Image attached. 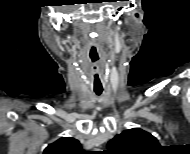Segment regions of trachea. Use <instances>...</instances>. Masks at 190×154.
<instances>
[{"instance_id": "obj_1", "label": "trachea", "mask_w": 190, "mask_h": 154, "mask_svg": "<svg viewBox=\"0 0 190 154\" xmlns=\"http://www.w3.org/2000/svg\"><path fill=\"white\" fill-rule=\"evenodd\" d=\"M95 93H96L97 95H101L102 90H95Z\"/></svg>"}]
</instances>
